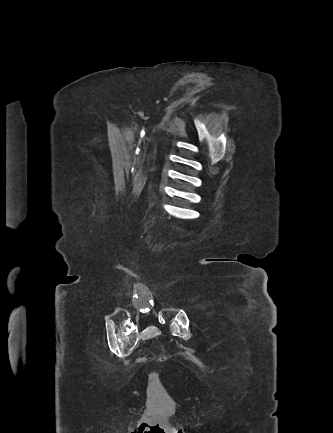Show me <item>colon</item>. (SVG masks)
<instances>
[{
    "label": "colon",
    "instance_id": "colon-1",
    "mask_svg": "<svg viewBox=\"0 0 333 433\" xmlns=\"http://www.w3.org/2000/svg\"><path fill=\"white\" fill-rule=\"evenodd\" d=\"M154 396L158 401H164L168 398L165 388L158 380L155 383Z\"/></svg>",
    "mask_w": 333,
    "mask_h": 433
}]
</instances>
